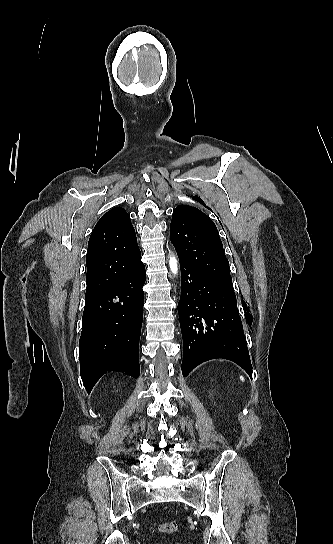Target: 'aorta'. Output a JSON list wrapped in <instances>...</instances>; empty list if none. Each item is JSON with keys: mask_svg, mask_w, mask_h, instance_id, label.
Segmentation results:
<instances>
[{"mask_svg": "<svg viewBox=\"0 0 333 544\" xmlns=\"http://www.w3.org/2000/svg\"><path fill=\"white\" fill-rule=\"evenodd\" d=\"M169 266H170V270L172 271V273L177 274L178 264H177V260H176L175 257H170Z\"/></svg>", "mask_w": 333, "mask_h": 544, "instance_id": "1", "label": "aorta"}]
</instances>
